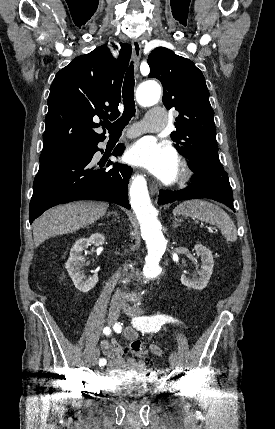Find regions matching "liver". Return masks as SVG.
<instances>
[{
	"instance_id": "liver-1",
	"label": "liver",
	"mask_w": 275,
	"mask_h": 429,
	"mask_svg": "<svg viewBox=\"0 0 275 429\" xmlns=\"http://www.w3.org/2000/svg\"><path fill=\"white\" fill-rule=\"evenodd\" d=\"M108 205L100 202H74L45 212L33 223V237L39 246L49 237L73 233L106 214Z\"/></svg>"
}]
</instances>
